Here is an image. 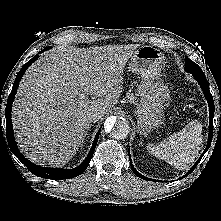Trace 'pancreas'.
<instances>
[{
  "label": "pancreas",
  "instance_id": "cf45deb5",
  "mask_svg": "<svg viewBox=\"0 0 221 221\" xmlns=\"http://www.w3.org/2000/svg\"><path fill=\"white\" fill-rule=\"evenodd\" d=\"M127 98L129 99V101L131 102V103H135L134 101H135V96L132 94V93H127Z\"/></svg>",
  "mask_w": 221,
  "mask_h": 221
}]
</instances>
